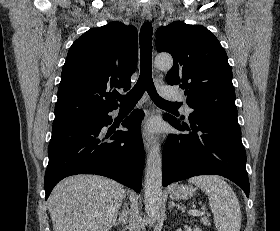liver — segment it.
Returning a JSON list of instances; mask_svg holds the SVG:
<instances>
[{
	"label": "liver",
	"mask_w": 280,
	"mask_h": 231,
	"mask_svg": "<svg viewBox=\"0 0 280 231\" xmlns=\"http://www.w3.org/2000/svg\"><path fill=\"white\" fill-rule=\"evenodd\" d=\"M125 197L121 183L101 175H70L49 197L53 231H109Z\"/></svg>",
	"instance_id": "obj_1"
}]
</instances>
